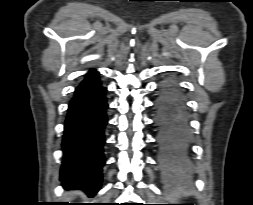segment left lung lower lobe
<instances>
[{"mask_svg":"<svg viewBox=\"0 0 253 205\" xmlns=\"http://www.w3.org/2000/svg\"><path fill=\"white\" fill-rule=\"evenodd\" d=\"M155 123L159 128L161 158L165 164L184 163L186 121L178 94L166 87L156 101Z\"/></svg>","mask_w":253,"mask_h":205,"instance_id":"obj_1","label":"left lung lower lobe"}]
</instances>
